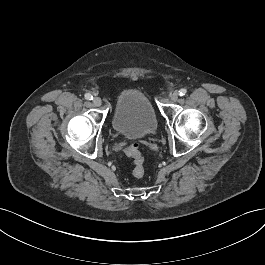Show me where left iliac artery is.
Wrapping results in <instances>:
<instances>
[{"label": "left iliac artery", "mask_w": 265, "mask_h": 265, "mask_svg": "<svg viewBox=\"0 0 265 265\" xmlns=\"http://www.w3.org/2000/svg\"><path fill=\"white\" fill-rule=\"evenodd\" d=\"M186 93H187V90L186 89H180L179 90V95L180 96H184Z\"/></svg>", "instance_id": "left-iliac-artery-1"}]
</instances>
